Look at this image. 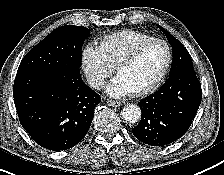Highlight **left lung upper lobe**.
<instances>
[{
	"label": "left lung upper lobe",
	"instance_id": "left-lung-upper-lobe-1",
	"mask_svg": "<svg viewBox=\"0 0 224 175\" xmlns=\"http://www.w3.org/2000/svg\"><path fill=\"white\" fill-rule=\"evenodd\" d=\"M159 26V25H158ZM162 32L166 35L173 49V63L170 74L184 68H193L191 57L186 48L170 33L159 26Z\"/></svg>",
	"mask_w": 224,
	"mask_h": 175
}]
</instances>
